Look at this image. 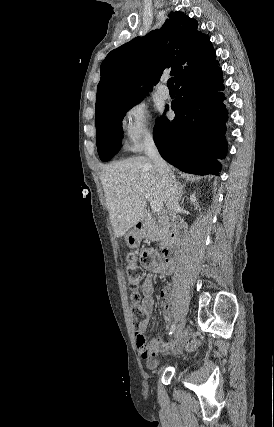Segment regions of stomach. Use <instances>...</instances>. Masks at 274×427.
Returning a JSON list of instances; mask_svg holds the SVG:
<instances>
[{
  "label": "stomach",
  "mask_w": 274,
  "mask_h": 427,
  "mask_svg": "<svg viewBox=\"0 0 274 427\" xmlns=\"http://www.w3.org/2000/svg\"><path fill=\"white\" fill-rule=\"evenodd\" d=\"M143 237V229H138V227H133L125 235V241L129 247H139V243Z\"/></svg>",
  "instance_id": "obj_1"
}]
</instances>
